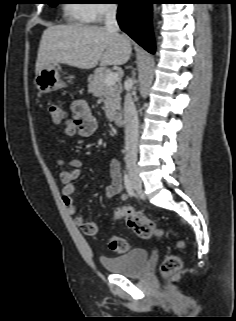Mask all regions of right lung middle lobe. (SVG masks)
I'll return each mask as SVG.
<instances>
[{
	"label": "right lung middle lobe",
	"instance_id": "right-lung-middle-lobe-1",
	"mask_svg": "<svg viewBox=\"0 0 236 321\" xmlns=\"http://www.w3.org/2000/svg\"><path fill=\"white\" fill-rule=\"evenodd\" d=\"M57 4H58L57 2L49 3V5L52 6V7H55Z\"/></svg>",
	"mask_w": 236,
	"mask_h": 321
}]
</instances>
